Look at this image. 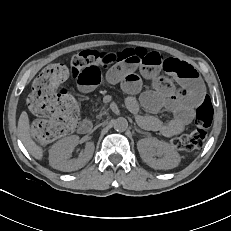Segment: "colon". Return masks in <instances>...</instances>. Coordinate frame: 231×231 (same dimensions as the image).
Instances as JSON below:
<instances>
[{
    "instance_id": "1",
    "label": "colon",
    "mask_w": 231,
    "mask_h": 231,
    "mask_svg": "<svg viewBox=\"0 0 231 231\" xmlns=\"http://www.w3.org/2000/svg\"><path fill=\"white\" fill-rule=\"evenodd\" d=\"M151 57L155 55L141 48L115 52L84 51L71 58L70 70L77 77L89 66L108 68L123 62L143 63ZM68 75L69 69L65 65L51 64L42 70L33 83L28 106L31 112L40 118L32 125V135L39 144H48L70 133L78 120L79 112L75 99L60 88V84ZM212 118V106L205 99L196 110L194 130L174 138L173 146L184 151L202 147Z\"/></svg>"
}]
</instances>
